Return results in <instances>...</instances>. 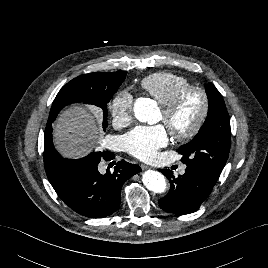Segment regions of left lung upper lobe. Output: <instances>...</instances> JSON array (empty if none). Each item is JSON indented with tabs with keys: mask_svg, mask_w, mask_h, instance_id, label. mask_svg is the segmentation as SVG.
<instances>
[{
	"mask_svg": "<svg viewBox=\"0 0 268 268\" xmlns=\"http://www.w3.org/2000/svg\"><path fill=\"white\" fill-rule=\"evenodd\" d=\"M209 100L207 118L198 134L180 146L181 161L187 166L203 168L218 178L230 151V118L222 95L209 83L206 87Z\"/></svg>",
	"mask_w": 268,
	"mask_h": 268,
	"instance_id": "left-lung-upper-lobe-1",
	"label": "left lung upper lobe"
}]
</instances>
